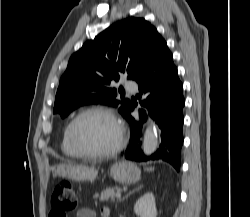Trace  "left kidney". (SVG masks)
<instances>
[{"label":"left kidney","mask_w":250,"mask_h":217,"mask_svg":"<svg viewBox=\"0 0 250 217\" xmlns=\"http://www.w3.org/2000/svg\"><path fill=\"white\" fill-rule=\"evenodd\" d=\"M134 212L140 217H156L157 209L153 193L141 196L134 205Z\"/></svg>","instance_id":"left-kidney-1"}]
</instances>
